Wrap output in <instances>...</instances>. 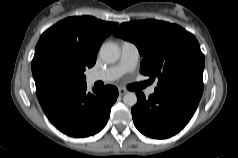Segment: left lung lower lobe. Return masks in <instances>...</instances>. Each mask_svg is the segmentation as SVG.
Masks as SVG:
<instances>
[{"label":"left lung lower lobe","mask_w":238,"mask_h":158,"mask_svg":"<svg viewBox=\"0 0 238 158\" xmlns=\"http://www.w3.org/2000/svg\"><path fill=\"white\" fill-rule=\"evenodd\" d=\"M203 93V81L190 80L166 88L155 89L145 98L137 92V104L132 108L136 128L156 139L169 138L189 122Z\"/></svg>","instance_id":"left-lung-lower-lobe-1"}]
</instances>
